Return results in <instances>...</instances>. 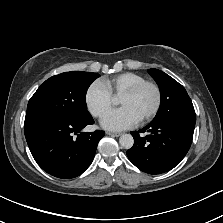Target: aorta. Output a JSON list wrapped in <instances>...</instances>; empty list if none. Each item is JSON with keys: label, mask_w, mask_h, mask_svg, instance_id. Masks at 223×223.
<instances>
[{"label": "aorta", "mask_w": 223, "mask_h": 223, "mask_svg": "<svg viewBox=\"0 0 223 223\" xmlns=\"http://www.w3.org/2000/svg\"><path fill=\"white\" fill-rule=\"evenodd\" d=\"M120 145L125 149H130L134 144V139L130 134H123L119 138Z\"/></svg>", "instance_id": "1"}]
</instances>
